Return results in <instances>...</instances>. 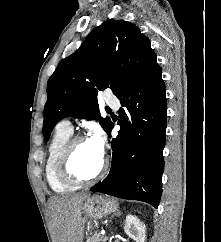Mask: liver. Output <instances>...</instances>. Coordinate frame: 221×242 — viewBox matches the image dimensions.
Wrapping results in <instances>:
<instances>
[{
	"label": "liver",
	"mask_w": 221,
	"mask_h": 242,
	"mask_svg": "<svg viewBox=\"0 0 221 242\" xmlns=\"http://www.w3.org/2000/svg\"><path fill=\"white\" fill-rule=\"evenodd\" d=\"M89 193L55 196L49 200L54 242H83V202Z\"/></svg>",
	"instance_id": "obj_1"
}]
</instances>
